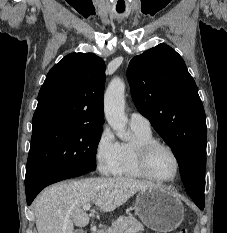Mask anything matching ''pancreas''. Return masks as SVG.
Wrapping results in <instances>:
<instances>
[{"label": "pancreas", "instance_id": "cf45deb5", "mask_svg": "<svg viewBox=\"0 0 227 233\" xmlns=\"http://www.w3.org/2000/svg\"><path fill=\"white\" fill-rule=\"evenodd\" d=\"M143 229L142 223L130 215L124 217L120 222L113 223L107 230L99 233H139Z\"/></svg>", "mask_w": 227, "mask_h": 233}]
</instances>
